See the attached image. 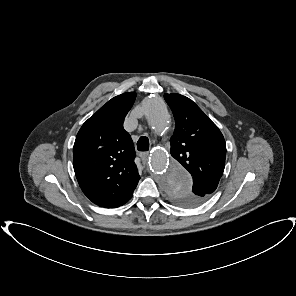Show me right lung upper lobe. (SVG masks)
<instances>
[{"label": "right lung upper lobe", "instance_id": "right-lung-upper-lobe-1", "mask_svg": "<svg viewBox=\"0 0 296 296\" xmlns=\"http://www.w3.org/2000/svg\"><path fill=\"white\" fill-rule=\"evenodd\" d=\"M135 98V92L112 98L82 125L76 136L75 175L83 193L100 207L114 208L128 202L140 179L133 141L123 129Z\"/></svg>", "mask_w": 296, "mask_h": 296}]
</instances>
